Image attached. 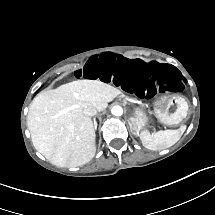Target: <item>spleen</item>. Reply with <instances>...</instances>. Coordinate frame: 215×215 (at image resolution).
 <instances>
[{"mask_svg": "<svg viewBox=\"0 0 215 215\" xmlns=\"http://www.w3.org/2000/svg\"><path fill=\"white\" fill-rule=\"evenodd\" d=\"M139 136L147 149L162 150L173 146L181 138V132L180 129H166L151 134L149 129H144Z\"/></svg>", "mask_w": 215, "mask_h": 215, "instance_id": "spleen-1", "label": "spleen"}]
</instances>
